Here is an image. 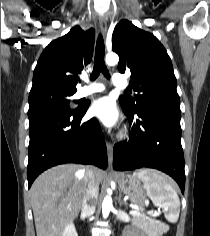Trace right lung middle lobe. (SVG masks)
<instances>
[{
	"label": "right lung middle lobe",
	"instance_id": "right-lung-middle-lobe-1",
	"mask_svg": "<svg viewBox=\"0 0 210 236\" xmlns=\"http://www.w3.org/2000/svg\"><path fill=\"white\" fill-rule=\"evenodd\" d=\"M73 94L60 91H46L38 94L32 101H29L28 117L53 110L81 111L84 106H78L76 109H71L69 106Z\"/></svg>",
	"mask_w": 210,
	"mask_h": 236
}]
</instances>
